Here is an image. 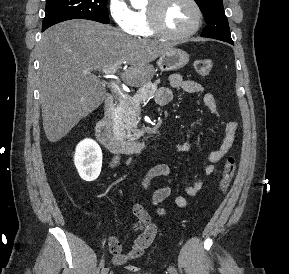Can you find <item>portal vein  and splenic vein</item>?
<instances>
[{"label": "portal vein and splenic vein", "instance_id": "1", "mask_svg": "<svg viewBox=\"0 0 289 274\" xmlns=\"http://www.w3.org/2000/svg\"><path fill=\"white\" fill-rule=\"evenodd\" d=\"M118 70L117 65H113V66H108V67H104L102 69V72L107 76L110 77L111 75H114ZM111 88L113 89V91L120 97H124L127 98L129 97L123 90L122 88L119 86V84L114 81L111 80L110 82Z\"/></svg>", "mask_w": 289, "mask_h": 274}]
</instances>
